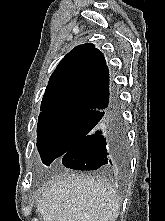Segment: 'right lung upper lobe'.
Instances as JSON below:
<instances>
[{
    "label": "right lung upper lobe",
    "mask_w": 165,
    "mask_h": 221,
    "mask_svg": "<svg viewBox=\"0 0 165 221\" xmlns=\"http://www.w3.org/2000/svg\"><path fill=\"white\" fill-rule=\"evenodd\" d=\"M109 71L93 44L75 47L53 72L41 103V113L58 110L100 111L109 106Z\"/></svg>",
    "instance_id": "cb5924a9"
}]
</instances>
